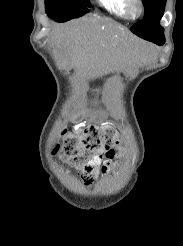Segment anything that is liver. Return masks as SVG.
<instances>
[{
  "mask_svg": "<svg viewBox=\"0 0 183 246\" xmlns=\"http://www.w3.org/2000/svg\"><path fill=\"white\" fill-rule=\"evenodd\" d=\"M52 40L81 84L123 70L141 59L146 45L107 18L86 16L58 27Z\"/></svg>",
  "mask_w": 183,
  "mask_h": 246,
  "instance_id": "1",
  "label": "liver"
}]
</instances>
